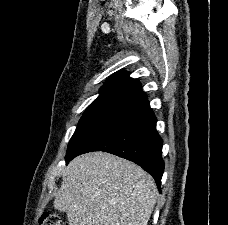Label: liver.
Returning a JSON list of instances; mask_svg holds the SVG:
<instances>
[{"label":"liver","mask_w":228,"mask_h":225,"mask_svg":"<svg viewBox=\"0 0 228 225\" xmlns=\"http://www.w3.org/2000/svg\"><path fill=\"white\" fill-rule=\"evenodd\" d=\"M158 193L154 179L109 153H86L65 169L54 207L69 225H148Z\"/></svg>","instance_id":"1"}]
</instances>
